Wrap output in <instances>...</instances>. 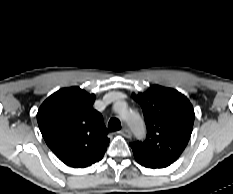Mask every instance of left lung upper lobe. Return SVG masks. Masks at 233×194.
Instances as JSON below:
<instances>
[{
  "label": "left lung upper lobe",
  "mask_w": 233,
  "mask_h": 194,
  "mask_svg": "<svg viewBox=\"0 0 233 194\" xmlns=\"http://www.w3.org/2000/svg\"><path fill=\"white\" fill-rule=\"evenodd\" d=\"M132 97L143 110L148 130L145 141L130 144L134 156L175 162L192 133L194 110L189 100L177 90L159 85Z\"/></svg>",
  "instance_id": "left-lung-upper-lobe-1"
}]
</instances>
